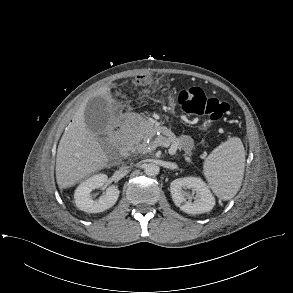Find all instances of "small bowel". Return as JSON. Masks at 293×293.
Segmentation results:
<instances>
[{"instance_id": "1", "label": "small bowel", "mask_w": 293, "mask_h": 293, "mask_svg": "<svg viewBox=\"0 0 293 293\" xmlns=\"http://www.w3.org/2000/svg\"><path fill=\"white\" fill-rule=\"evenodd\" d=\"M188 122H191V120L189 119ZM178 142L184 151H188L192 147V140L189 136H181Z\"/></svg>"}]
</instances>
